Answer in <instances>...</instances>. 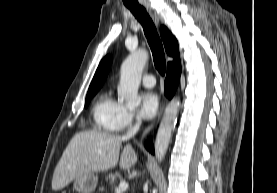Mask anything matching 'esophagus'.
<instances>
[{"label":"esophagus","mask_w":277,"mask_h":193,"mask_svg":"<svg viewBox=\"0 0 277 193\" xmlns=\"http://www.w3.org/2000/svg\"><path fill=\"white\" fill-rule=\"evenodd\" d=\"M144 7H145V9L147 10V12H148V14L150 15V17L152 18V20L155 22V24L157 25V26H159V24H160V17H159V15L157 14V12L155 11V9L150 5V3H144ZM165 104H166V102H165V100H163L162 102H161V105H160V108H159V111H158V113H157V116H156V118L153 120V122L150 124V125H148L146 128H145V130H144V132H143V136H145L146 134H148L157 124H158V122H159V120H160V118H161V115H162V113H163V111H164V108H165Z\"/></svg>","instance_id":"34e87169"}]
</instances>
